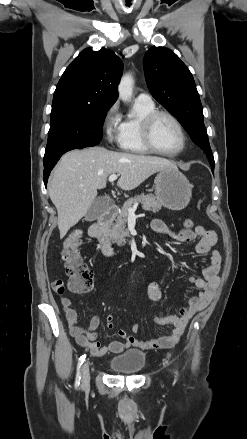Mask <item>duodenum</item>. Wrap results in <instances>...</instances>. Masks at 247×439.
<instances>
[{
    "instance_id": "1",
    "label": "duodenum",
    "mask_w": 247,
    "mask_h": 439,
    "mask_svg": "<svg viewBox=\"0 0 247 439\" xmlns=\"http://www.w3.org/2000/svg\"><path fill=\"white\" fill-rule=\"evenodd\" d=\"M116 213L117 206L114 204L110 205L89 227V235L98 241L100 249L105 256H112L115 253L107 238L106 228Z\"/></svg>"
}]
</instances>
